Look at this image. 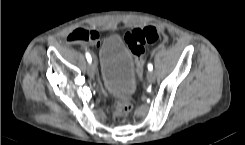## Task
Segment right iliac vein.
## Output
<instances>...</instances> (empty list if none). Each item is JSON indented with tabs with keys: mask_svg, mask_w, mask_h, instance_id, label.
<instances>
[{
	"mask_svg": "<svg viewBox=\"0 0 245 145\" xmlns=\"http://www.w3.org/2000/svg\"><path fill=\"white\" fill-rule=\"evenodd\" d=\"M95 65L94 64H90L89 66H88V70H87V72H88V75H89V77L90 78H94V76H95Z\"/></svg>",
	"mask_w": 245,
	"mask_h": 145,
	"instance_id": "right-iliac-vein-1",
	"label": "right iliac vein"
}]
</instances>
